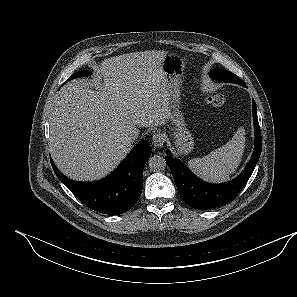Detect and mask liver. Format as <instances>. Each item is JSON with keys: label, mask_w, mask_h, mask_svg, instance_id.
<instances>
[{"label": "liver", "mask_w": 297, "mask_h": 297, "mask_svg": "<svg viewBox=\"0 0 297 297\" xmlns=\"http://www.w3.org/2000/svg\"><path fill=\"white\" fill-rule=\"evenodd\" d=\"M152 50L105 59L95 90L79 81L64 86L50 117L49 148L58 169L74 180L94 181L111 173L132 149L129 127H153L171 118L162 61Z\"/></svg>", "instance_id": "obj_1"}]
</instances>
